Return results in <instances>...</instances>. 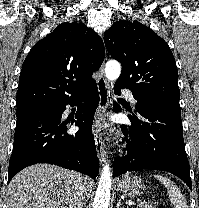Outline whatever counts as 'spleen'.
Listing matches in <instances>:
<instances>
[{
    "mask_svg": "<svg viewBox=\"0 0 199 208\" xmlns=\"http://www.w3.org/2000/svg\"><path fill=\"white\" fill-rule=\"evenodd\" d=\"M154 177L167 188L171 203L174 205V208H188L182 193L170 179L163 177L162 175H155Z\"/></svg>",
    "mask_w": 199,
    "mask_h": 208,
    "instance_id": "1",
    "label": "spleen"
}]
</instances>
